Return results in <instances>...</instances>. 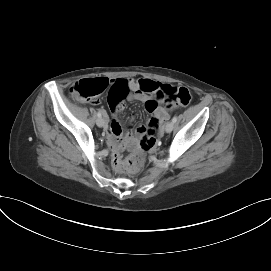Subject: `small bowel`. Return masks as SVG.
<instances>
[{"label":"small bowel","instance_id":"c3829d8e","mask_svg":"<svg viewBox=\"0 0 271 271\" xmlns=\"http://www.w3.org/2000/svg\"><path fill=\"white\" fill-rule=\"evenodd\" d=\"M146 84L148 86V90H144L142 86ZM166 84H162L150 79H114L110 81V84L107 88L106 98L109 101V105L112 109V113L114 118L110 123H108L105 127V133L108 137V140L113 146H120L125 143H129L133 141V135L131 133H127L126 135H122V128L117 120L116 116L124 109V99L129 100H137L144 103L145 108L148 112L154 114V118L158 121V125L160 122L165 121L168 117L167 109H171V105H163V100L158 99L156 94L161 91ZM154 95L156 99L152 97ZM158 127V126H157ZM149 130L148 127L139 126L137 128V134L143 135Z\"/></svg>","mask_w":271,"mask_h":271}]
</instances>
